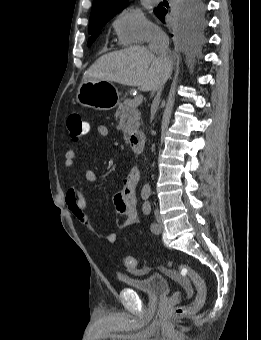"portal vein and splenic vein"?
<instances>
[{
  "label": "portal vein and splenic vein",
  "mask_w": 261,
  "mask_h": 340,
  "mask_svg": "<svg viewBox=\"0 0 261 340\" xmlns=\"http://www.w3.org/2000/svg\"><path fill=\"white\" fill-rule=\"evenodd\" d=\"M142 101H143V95H137L131 100L130 106L137 107L138 105L142 103Z\"/></svg>",
  "instance_id": "obj_1"
}]
</instances>
